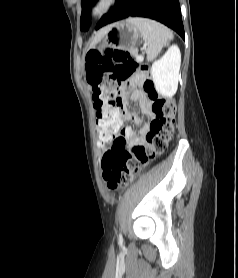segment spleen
I'll return each mask as SVG.
<instances>
[{
  "label": "spleen",
  "instance_id": "1",
  "mask_svg": "<svg viewBox=\"0 0 238 278\" xmlns=\"http://www.w3.org/2000/svg\"><path fill=\"white\" fill-rule=\"evenodd\" d=\"M128 22L134 24L145 41L147 60H154L162 48L173 40V34L164 25L145 18H129Z\"/></svg>",
  "mask_w": 238,
  "mask_h": 278
}]
</instances>
